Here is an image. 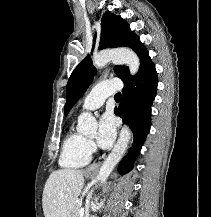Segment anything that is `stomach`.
Here are the masks:
<instances>
[{"label":"stomach","mask_w":211,"mask_h":217,"mask_svg":"<svg viewBox=\"0 0 211 217\" xmlns=\"http://www.w3.org/2000/svg\"><path fill=\"white\" fill-rule=\"evenodd\" d=\"M86 176L88 177V178H92L93 177V174L92 173H86Z\"/></svg>","instance_id":"1"}]
</instances>
